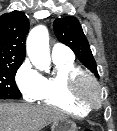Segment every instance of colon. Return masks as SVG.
<instances>
[{
  "label": "colon",
  "mask_w": 117,
  "mask_h": 131,
  "mask_svg": "<svg viewBox=\"0 0 117 131\" xmlns=\"http://www.w3.org/2000/svg\"><path fill=\"white\" fill-rule=\"evenodd\" d=\"M84 131H94L93 128H86Z\"/></svg>",
  "instance_id": "colon-1"
}]
</instances>
